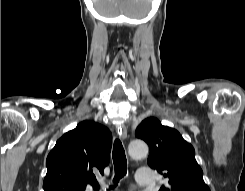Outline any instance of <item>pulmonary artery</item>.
Here are the masks:
<instances>
[{
	"instance_id": "1",
	"label": "pulmonary artery",
	"mask_w": 245,
	"mask_h": 191,
	"mask_svg": "<svg viewBox=\"0 0 245 191\" xmlns=\"http://www.w3.org/2000/svg\"><path fill=\"white\" fill-rule=\"evenodd\" d=\"M153 181V174L148 167L139 168L136 172V183L139 186H148Z\"/></svg>"
}]
</instances>
